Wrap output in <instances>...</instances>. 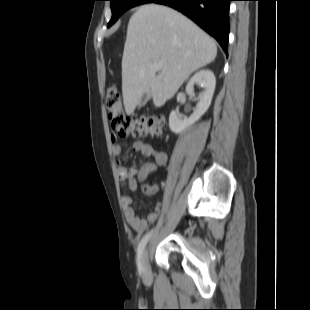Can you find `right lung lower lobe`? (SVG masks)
<instances>
[{"label":"right lung lower lobe","mask_w":310,"mask_h":310,"mask_svg":"<svg viewBox=\"0 0 310 310\" xmlns=\"http://www.w3.org/2000/svg\"><path fill=\"white\" fill-rule=\"evenodd\" d=\"M230 1L232 0H151L150 2L170 6L188 16L213 36L227 54Z\"/></svg>","instance_id":"98d812e1"}]
</instances>
